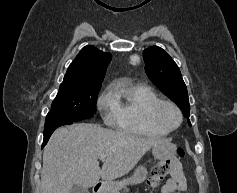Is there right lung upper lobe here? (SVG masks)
<instances>
[{
	"label": "right lung upper lobe",
	"mask_w": 237,
	"mask_h": 193,
	"mask_svg": "<svg viewBox=\"0 0 237 193\" xmlns=\"http://www.w3.org/2000/svg\"><path fill=\"white\" fill-rule=\"evenodd\" d=\"M112 55L94 46H85L70 64L63 83L101 86Z\"/></svg>",
	"instance_id": "right-lung-upper-lobe-1"
}]
</instances>
